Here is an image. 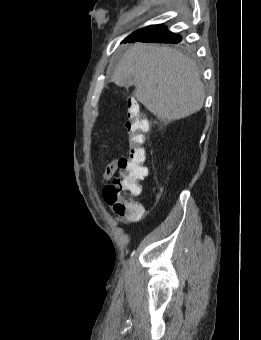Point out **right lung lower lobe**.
I'll use <instances>...</instances> for the list:
<instances>
[{
  "label": "right lung lower lobe",
  "instance_id": "obj_1",
  "mask_svg": "<svg viewBox=\"0 0 261 340\" xmlns=\"http://www.w3.org/2000/svg\"><path fill=\"white\" fill-rule=\"evenodd\" d=\"M174 33L168 31L164 25H151L139 29L129 35L123 42H154V43H168L173 37Z\"/></svg>",
  "mask_w": 261,
  "mask_h": 340
}]
</instances>
